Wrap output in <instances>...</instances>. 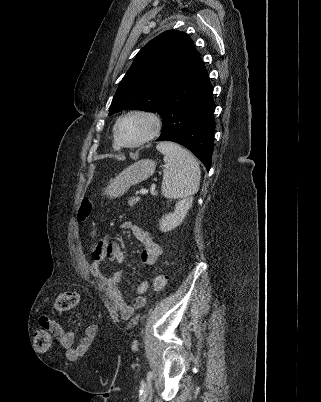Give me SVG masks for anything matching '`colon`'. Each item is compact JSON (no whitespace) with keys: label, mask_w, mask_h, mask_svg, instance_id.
I'll list each match as a JSON object with an SVG mask.
<instances>
[{"label":"colon","mask_w":321,"mask_h":402,"mask_svg":"<svg viewBox=\"0 0 321 402\" xmlns=\"http://www.w3.org/2000/svg\"><path fill=\"white\" fill-rule=\"evenodd\" d=\"M93 209V201L89 198L82 199L77 219L79 222H84L89 218ZM167 284V279L164 275L159 274L154 278L153 286L156 292L164 290ZM78 304V294L76 291L67 290L61 292L55 300V309L60 312H68L73 310ZM35 346L38 350L47 351L52 345V336L45 329H39L34 335Z\"/></svg>","instance_id":"colon-1"}]
</instances>
